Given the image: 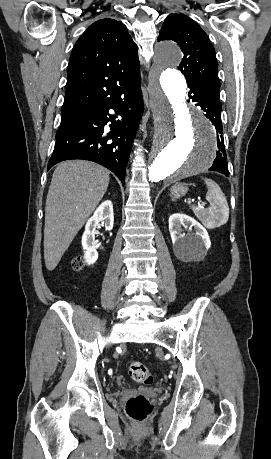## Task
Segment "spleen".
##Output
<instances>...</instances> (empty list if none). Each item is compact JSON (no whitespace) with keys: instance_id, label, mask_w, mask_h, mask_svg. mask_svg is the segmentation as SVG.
<instances>
[{"instance_id":"spleen-1","label":"spleen","mask_w":271,"mask_h":459,"mask_svg":"<svg viewBox=\"0 0 271 459\" xmlns=\"http://www.w3.org/2000/svg\"><path fill=\"white\" fill-rule=\"evenodd\" d=\"M203 180L208 188L206 200L210 202V208L205 210V208L191 206V210H193L195 216L201 220L205 228H220V226L228 222L229 206L227 200L216 182L208 180V178H203Z\"/></svg>"}]
</instances>
